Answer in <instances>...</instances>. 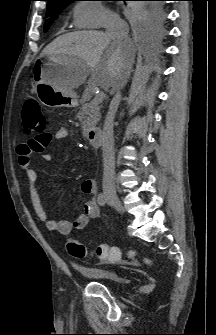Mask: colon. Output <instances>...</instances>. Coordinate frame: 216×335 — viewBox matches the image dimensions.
<instances>
[{
    "instance_id": "1",
    "label": "colon",
    "mask_w": 216,
    "mask_h": 335,
    "mask_svg": "<svg viewBox=\"0 0 216 335\" xmlns=\"http://www.w3.org/2000/svg\"><path fill=\"white\" fill-rule=\"evenodd\" d=\"M22 129L25 133H35L36 136L29 141V145L33 151H42L49 139L50 133L46 131L47 121L42 114L39 102L30 98L27 99L22 107ZM68 253L76 259H84L88 252L86 247L74 238H68L66 242ZM96 255L103 261L117 262L122 258V251L118 247H109L105 244L98 245ZM130 261L135 256V252L130 250L126 254ZM145 262L150 264L151 260L145 258Z\"/></svg>"
}]
</instances>
